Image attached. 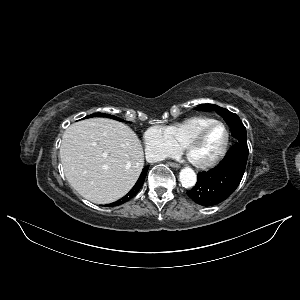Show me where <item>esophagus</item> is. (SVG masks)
<instances>
[{
	"label": "esophagus",
	"mask_w": 300,
	"mask_h": 300,
	"mask_svg": "<svg viewBox=\"0 0 300 300\" xmlns=\"http://www.w3.org/2000/svg\"><path fill=\"white\" fill-rule=\"evenodd\" d=\"M169 165L173 168H180V165L178 163L169 162Z\"/></svg>",
	"instance_id": "1"
}]
</instances>
